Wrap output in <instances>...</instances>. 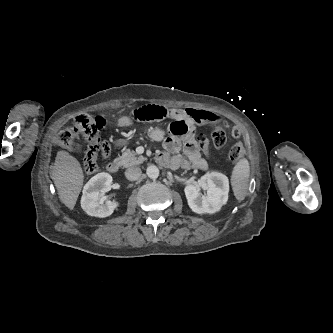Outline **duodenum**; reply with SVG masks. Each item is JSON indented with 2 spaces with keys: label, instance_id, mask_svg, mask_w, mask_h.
<instances>
[{
  "label": "duodenum",
  "instance_id": "1",
  "mask_svg": "<svg viewBox=\"0 0 333 333\" xmlns=\"http://www.w3.org/2000/svg\"><path fill=\"white\" fill-rule=\"evenodd\" d=\"M107 170L112 174L116 173L119 170L118 162L112 161V162L108 163Z\"/></svg>",
  "mask_w": 333,
  "mask_h": 333
}]
</instances>
